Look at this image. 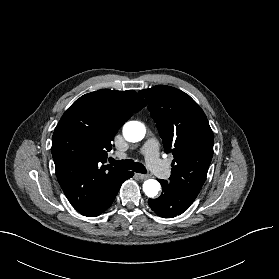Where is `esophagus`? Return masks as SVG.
<instances>
[{
	"instance_id": "esophagus-1",
	"label": "esophagus",
	"mask_w": 279,
	"mask_h": 279,
	"mask_svg": "<svg viewBox=\"0 0 279 279\" xmlns=\"http://www.w3.org/2000/svg\"><path fill=\"white\" fill-rule=\"evenodd\" d=\"M136 175H137V177H139L140 179H147V178H150V175H149V174H140V173H137Z\"/></svg>"
}]
</instances>
